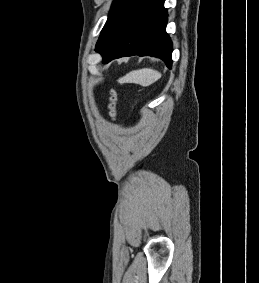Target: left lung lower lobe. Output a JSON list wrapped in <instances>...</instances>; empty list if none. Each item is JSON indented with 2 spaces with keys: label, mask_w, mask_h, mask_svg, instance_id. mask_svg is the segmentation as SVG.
<instances>
[{
  "label": "left lung lower lobe",
  "mask_w": 259,
  "mask_h": 283,
  "mask_svg": "<svg viewBox=\"0 0 259 283\" xmlns=\"http://www.w3.org/2000/svg\"><path fill=\"white\" fill-rule=\"evenodd\" d=\"M164 0H124L96 44L103 63L124 56H154L172 66Z\"/></svg>",
  "instance_id": "0a47b994"
}]
</instances>
